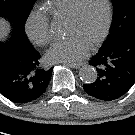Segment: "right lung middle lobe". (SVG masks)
<instances>
[{"label":"right lung middle lobe","instance_id":"1","mask_svg":"<svg viewBox=\"0 0 135 135\" xmlns=\"http://www.w3.org/2000/svg\"><path fill=\"white\" fill-rule=\"evenodd\" d=\"M36 0H0V17H5L14 29L24 33V24Z\"/></svg>","mask_w":135,"mask_h":135}]
</instances>
